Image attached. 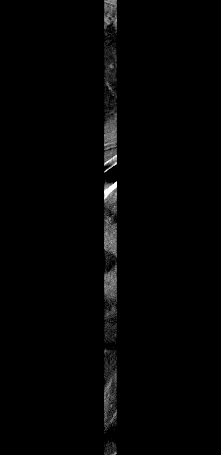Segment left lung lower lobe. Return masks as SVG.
Listing matches in <instances>:
<instances>
[{
	"label": "left lung lower lobe",
	"mask_w": 221,
	"mask_h": 455,
	"mask_svg": "<svg viewBox=\"0 0 221 455\" xmlns=\"http://www.w3.org/2000/svg\"><path fill=\"white\" fill-rule=\"evenodd\" d=\"M106 168H104V158L100 156L94 159L91 170L93 173L100 172L103 178L104 169ZM105 177L111 181L117 180L118 186L120 185L126 189L133 190H142L145 188L148 179L147 173L139 166V159L136 156L127 154L119 155V151L116 167L110 170Z\"/></svg>",
	"instance_id": "left-lung-lower-lobe-1"
}]
</instances>
